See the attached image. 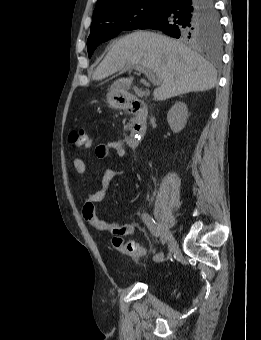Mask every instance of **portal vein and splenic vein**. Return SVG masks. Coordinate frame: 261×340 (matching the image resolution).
<instances>
[{
	"instance_id": "18ae733b",
	"label": "portal vein and splenic vein",
	"mask_w": 261,
	"mask_h": 340,
	"mask_svg": "<svg viewBox=\"0 0 261 340\" xmlns=\"http://www.w3.org/2000/svg\"><path fill=\"white\" fill-rule=\"evenodd\" d=\"M132 68L144 73L149 78V80L151 81L153 85L159 84V80L156 79L155 72H153L151 69L147 68L146 66L144 65L134 66ZM126 70L128 69H123V71H126Z\"/></svg>"
}]
</instances>
